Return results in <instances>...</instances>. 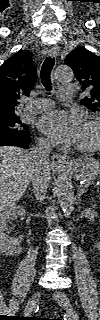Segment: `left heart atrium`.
<instances>
[{"mask_svg":"<svg viewBox=\"0 0 100 320\" xmlns=\"http://www.w3.org/2000/svg\"><path fill=\"white\" fill-rule=\"evenodd\" d=\"M81 119L75 112L54 110L47 112L38 121V128L56 144H77Z\"/></svg>","mask_w":100,"mask_h":320,"instance_id":"left-heart-atrium-1","label":"left heart atrium"}]
</instances>
